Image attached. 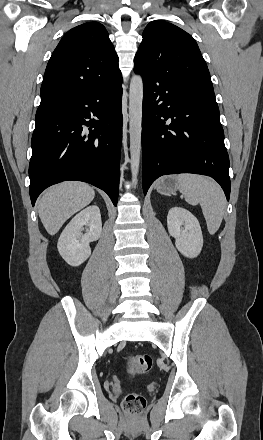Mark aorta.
<instances>
[{"label": "aorta", "mask_w": 263, "mask_h": 440, "mask_svg": "<svg viewBox=\"0 0 263 440\" xmlns=\"http://www.w3.org/2000/svg\"><path fill=\"white\" fill-rule=\"evenodd\" d=\"M143 80L140 75L131 78L129 90V134L132 183L137 184L140 165L142 133Z\"/></svg>", "instance_id": "aorta-1"}]
</instances>
